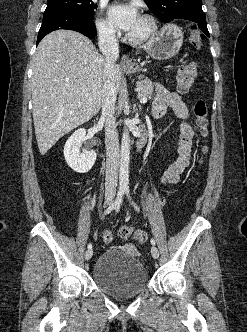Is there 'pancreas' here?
<instances>
[{"mask_svg":"<svg viewBox=\"0 0 247 332\" xmlns=\"http://www.w3.org/2000/svg\"><path fill=\"white\" fill-rule=\"evenodd\" d=\"M138 97H147L149 99L154 95L153 83L149 79H144L136 83Z\"/></svg>","mask_w":247,"mask_h":332,"instance_id":"1","label":"pancreas"}]
</instances>
